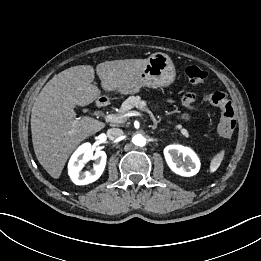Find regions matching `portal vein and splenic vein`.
Returning <instances> with one entry per match:
<instances>
[{
    "instance_id": "obj_1",
    "label": "portal vein and splenic vein",
    "mask_w": 261,
    "mask_h": 261,
    "mask_svg": "<svg viewBox=\"0 0 261 261\" xmlns=\"http://www.w3.org/2000/svg\"><path fill=\"white\" fill-rule=\"evenodd\" d=\"M131 116H142V114L138 111H130L124 115L108 114V115H105L104 118L107 122L123 123L127 120V118H129Z\"/></svg>"
}]
</instances>
